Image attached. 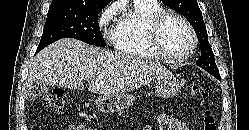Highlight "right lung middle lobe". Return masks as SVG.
<instances>
[{"label": "right lung middle lobe", "instance_id": "right-lung-middle-lobe-1", "mask_svg": "<svg viewBox=\"0 0 249 130\" xmlns=\"http://www.w3.org/2000/svg\"><path fill=\"white\" fill-rule=\"evenodd\" d=\"M104 7L65 3L50 5L36 52L62 38H75L90 45L104 47L105 41L98 24V14Z\"/></svg>", "mask_w": 249, "mask_h": 130}]
</instances>
